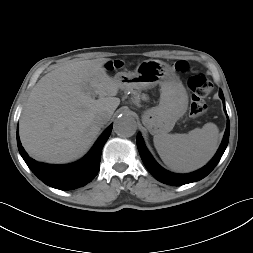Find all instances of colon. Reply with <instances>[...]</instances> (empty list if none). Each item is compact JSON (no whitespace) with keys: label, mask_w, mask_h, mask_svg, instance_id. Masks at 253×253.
Listing matches in <instances>:
<instances>
[{"label":"colon","mask_w":253,"mask_h":253,"mask_svg":"<svg viewBox=\"0 0 253 253\" xmlns=\"http://www.w3.org/2000/svg\"><path fill=\"white\" fill-rule=\"evenodd\" d=\"M122 64L118 61L112 63V67L119 68ZM179 72L188 70V63L186 61H178L174 65ZM188 86L192 92L189 114L193 118L203 116L207 111L205 97L211 92V82L202 74L192 76L188 81Z\"/></svg>","instance_id":"colon-1"}]
</instances>
